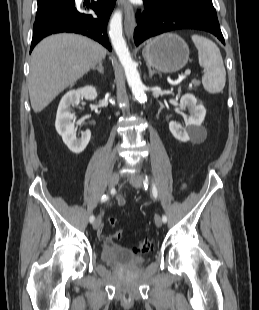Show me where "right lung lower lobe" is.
<instances>
[{
  "label": "right lung lower lobe",
  "instance_id": "right-lung-lower-lobe-1",
  "mask_svg": "<svg viewBox=\"0 0 259 310\" xmlns=\"http://www.w3.org/2000/svg\"><path fill=\"white\" fill-rule=\"evenodd\" d=\"M115 2L116 0H97V2L92 0L90 4L82 7L75 6L74 0L68 6L53 7L37 12L31 50L48 35L75 32L93 38L111 51L106 26ZM90 9L94 10L96 15L88 14Z\"/></svg>",
  "mask_w": 259,
  "mask_h": 310
}]
</instances>
